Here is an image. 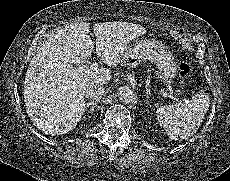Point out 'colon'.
Here are the masks:
<instances>
[{"label":"colon","instance_id":"obj_1","mask_svg":"<svg viewBox=\"0 0 230 181\" xmlns=\"http://www.w3.org/2000/svg\"><path fill=\"white\" fill-rule=\"evenodd\" d=\"M192 74V68L190 64L183 62L179 65V75L182 79H187Z\"/></svg>","mask_w":230,"mask_h":181}]
</instances>
